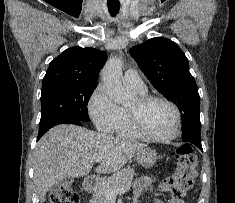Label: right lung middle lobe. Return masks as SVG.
Listing matches in <instances>:
<instances>
[{"label": "right lung middle lobe", "instance_id": "1", "mask_svg": "<svg viewBox=\"0 0 235 203\" xmlns=\"http://www.w3.org/2000/svg\"><path fill=\"white\" fill-rule=\"evenodd\" d=\"M96 85L59 83L42 87L39 126L60 119L89 121L87 104Z\"/></svg>", "mask_w": 235, "mask_h": 203}]
</instances>
